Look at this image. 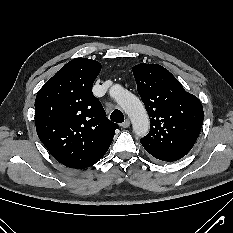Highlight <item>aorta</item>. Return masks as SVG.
I'll use <instances>...</instances> for the list:
<instances>
[{
	"label": "aorta",
	"instance_id": "762f6f07",
	"mask_svg": "<svg viewBox=\"0 0 233 233\" xmlns=\"http://www.w3.org/2000/svg\"><path fill=\"white\" fill-rule=\"evenodd\" d=\"M110 94L129 116L134 133L139 137L145 136L149 131L150 122L142 102L120 85L111 87Z\"/></svg>",
	"mask_w": 233,
	"mask_h": 233
}]
</instances>
